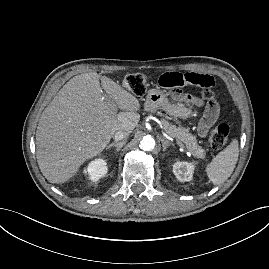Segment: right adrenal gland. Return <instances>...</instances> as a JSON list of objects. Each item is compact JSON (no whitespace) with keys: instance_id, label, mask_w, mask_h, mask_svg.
I'll use <instances>...</instances> for the list:
<instances>
[{"instance_id":"2a0ac1e0","label":"right adrenal gland","mask_w":269,"mask_h":269,"mask_svg":"<svg viewBox=\"0 0 269 269\" xmlns=\"http://www.w3.org/2000/svg\"><path fill=\"white\" fill-rule=\"evenodd\" d=\"M126 142H113L110 145L106 146V149H110L111 147H116V151L119 152L120 149L125 145Z\"/></svg>"}]
</instances>
